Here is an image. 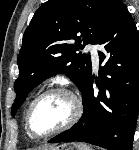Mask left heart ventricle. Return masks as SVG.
I'll list each match as a JSON object with an SVG mask.
<instances>
[{"label":"left heart ventricle","instance_id":"b2bd125f","mask_svg":"<svg viewBox=\"0 0 139 150\" xmlns=\"http://www.w3.org/2000/svg\"><path fill=\"white\" fill-rule=\"evenodd\" d=\"M72 113L73 104L66 94H49L36 105L32 116V127L39 134L50 132L65 124Z\"/></svg>","mask_w":139,"mask_h":150}]
</instances>
